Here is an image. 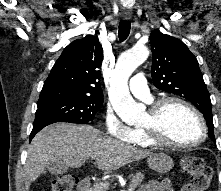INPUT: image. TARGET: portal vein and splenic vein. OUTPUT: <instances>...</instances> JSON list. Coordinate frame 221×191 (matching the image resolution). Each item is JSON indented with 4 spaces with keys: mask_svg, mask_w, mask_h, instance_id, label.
<instances>
[{
    "mask_svg": "<svg viewBox=\"0 0 221 191\" xmlns=\"http://www.w3.org/2000/svg\"><path fill=\"white\" fill-rule=\"evenodd\" d=\"M92 160L94 159V157L91 158ZM103 186L107 187L108 188V184L107 183H102ZM128 191H133V189H129Z\"/></svg>",
    "mask_w": 221,
    "mask_h": 191,
    "instance_id": "portal-vein-and-splenic-vein-1",
    "label": "portal vein and splenic vein"
}]
</instances>
